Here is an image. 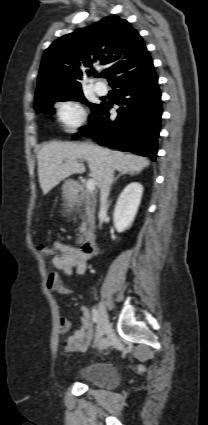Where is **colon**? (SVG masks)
<instances>
[{"mask_svg":"<svg viewBox=\"0 0 208 425\" xmlns=\"http://www.w3.org/2000/svg\"><path fill=\"white\" fill-rule=\"evenodd\" d=\"M38 249L41 254L46 257H51L55 254V250L47 244H41Z\"/></svg>","mask_w":208,"mask_h":425,"instance_id":"5ec220e1","label":"colon"}]
</instances>
